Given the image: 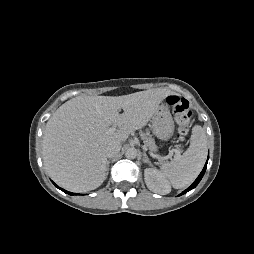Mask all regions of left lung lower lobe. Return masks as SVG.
Here are the masks:
<instances>
[{
  "instance_id": "left-lung-lower-lobe-1",
  "label": "left lung lower lobe",
  "mask_w": 254,
  "mask_h": 254,
  "mask_svg": "<svg viewBox=\"0 0 254 254\" xmlns=\"http://www.w3.org/2000/svg\"><path fill=\"white\" fill-rule=\"evenodd\" d=\"M208 158H209V156H208ZM207 162H208V160H207ZM207 162H206L202 172L197 177V179L193 182V184L190 187H188L185 191H183L180 195H183V194L187 193L188 191L192 190L193 188H195L198 185V183L200 182V180L202 179V177H203V175H204V173L206 171Z\"/></svg>"
}]
</instances>
